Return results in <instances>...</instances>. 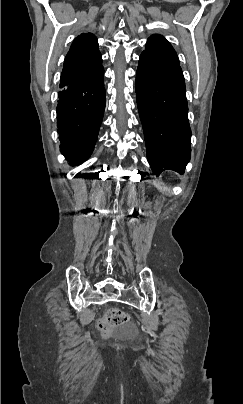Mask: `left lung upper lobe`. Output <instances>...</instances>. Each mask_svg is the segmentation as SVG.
<instances>
[{"mask_svg":"<svg viewBox=\"0 0 243 404\" xmlns=\"http://www.w3.org/2000/svg\"><path fill=\"white\" fill-rule=\"evenodd\" d=\"M142 53L148 54L159 61L179 65L175 50L161 35H152L146 43V50Z\"/></svg>","mask_w":243,"mask_h":404,"instance_id":"1","label":"left lung upper lobe"}]
</instances>
